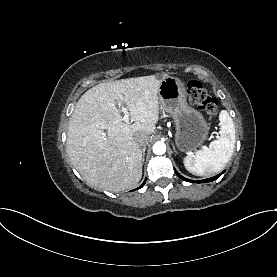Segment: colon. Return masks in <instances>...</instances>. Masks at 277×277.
<instances>
[{
  "instance_id": "obj_1",
  "label": "colon",
  "mask_w": 277,
  "mask_h": 277,
  "mask_svg": "<svg viewBox=\"0 0 277 277\" xmlns=\"http://www.w3.org/2000/svg\"><path fill=\"white\" fill-rule=\"evenodd\" d=\"M187 95L189 100L208 116L216 114L218 101L215 97L209 95L200 81L191 80L188 82Z\"/></svg>"
}]
</instances>
